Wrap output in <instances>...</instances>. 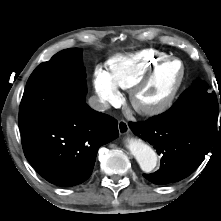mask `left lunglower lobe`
Segmentation results:
<instances>
[{"instance_id": "left-lung-lower-lobe-1", "label": "left lung lower lobe", "mask_w": 221, "mask_h": 221, "mask_svg": "<svg viewBox=\"0 0 221 221\" xmlns=\"http://www.w3.org/2000/svg\"><path fill=\"white\" fill-rule=\"evenodd\" d=\"M139 137L147 140L161 155V166L144 177L154 184H168L189 176L205 159L215 136L221 138V120L190 117L165 119L162 114L146 122L130 123Z\"/></svg>"}]
</instances>
